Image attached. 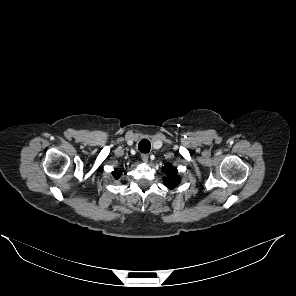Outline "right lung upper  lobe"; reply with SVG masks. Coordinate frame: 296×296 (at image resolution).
I'll return each instance as SVG.
<instances>
[{
  "label": "right lung upper lobe",
  "instance_id": "1",
  "mask_svg": "<svg viewBox=\"0 0 296 296\" xmlns=\"http://www.w3.org/2000/svg\"><path fill=\"white\" fill-rule=\"evenodd\" d=\"M112 175L115 179H119V177H120L119 171L116 169L114 170V172H112Z\"/></svg>",
  "mask_w": 296,
  "mask_h": 296
}]
</instances>
